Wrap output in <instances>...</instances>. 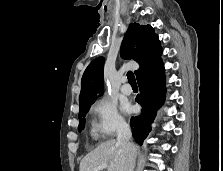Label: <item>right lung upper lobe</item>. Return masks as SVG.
<instances>
[{
	"label": "right lung upper lobe",
	"instance_id": "right-lung-upper-lobe-1",
	"mask_svg": "<svg viewBox=\"0 0 223 171\" xmlns=\"http://www.w3.org/2000/svg\"><path fill=\"white\" fill-rule=\"evenodd\" d=\"M120 51L124 59H133L139 63L140 68L135 71L137 78L161 61L160 41L150 25L131 23L123 38ZM103 68L104 58L99 57L93 60L83 73L80 108L93 104L98 98V93L103 94Z\"/></svg>",
	"mask_w": 223,
	"mask_h": 171
}]
</instances>
